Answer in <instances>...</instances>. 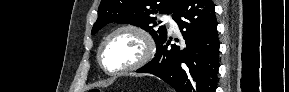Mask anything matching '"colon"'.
Returning a JSON list of instances; mask_svg holds the SVG:
<instances>
[{
    "mask_svg": "<svg viewBox=\"0 0 289 92\" xmlns=\"http://www.w3.org/2000/svg\"><path fill=\"white\" fill-rule=\"evenodd\" d=\"M90 92H101L99 89H91Z\"/></svg>",
    "mask_w": 289,
    "mask_h": 92,
    "instance_id": "obj_1",
    "label": "colon"
}]
</instances>
